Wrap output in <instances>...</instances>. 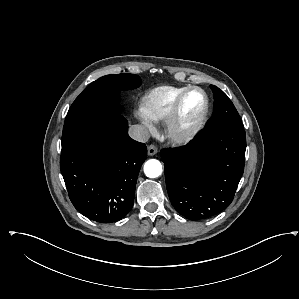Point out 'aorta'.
<instances>
[{"label":"aorta","instance_id":"aorta-1","mask_svg":"<svg viewBox=\"0 0 299 299\" xmlns=\"http://www.w3.org/2000/svg\"><path fill=\"white\" fill-rule=\"evenodd\" d=\"M144 173L149 178H157L162 174V165L156 159H150L144 164Z\"/></svg>","mask_w":299,"mask_h":299}]
</instances>
